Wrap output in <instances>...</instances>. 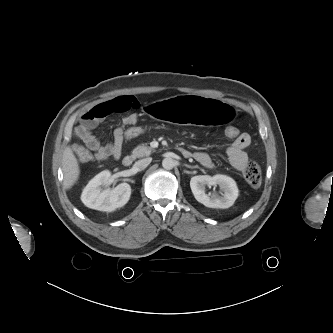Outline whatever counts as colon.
Instances as JSON below:
<instances>
[{
    "mask_svg": "<svg viewBox=\"0 0 333 333\" xmlns=\"http://www.w3.org/2000/svg\"><path fill=\"white\" fill-rule=\"evenodd\" d=\"M152 131L151 128L141 125L138 122L125 126L122 129L123 140L139 139ZM240 131L234 126H228L225 129L227 138L234 140L240 136ZM75 154L81 162H89L94 159L92 153L77 149ZM243 175L246 182L253 188H257L262 181V172L259 164L255 161H249L243 170Z\"/></svg>",
    "mask_w": 333,
    "mask_h": 333,
    "instance_id": "colon-1",
    "label": "colon"
}]
</instances>
